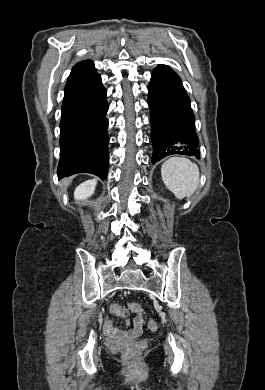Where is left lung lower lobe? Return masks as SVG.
Listing matches in <instances>:
<instances>
[{"mask_svg": "<svg viewBox=\"0 0 265 390\" xmlns=\"http://www.w3.org/2000/svg\"><path fill=\"white\" fill-rule=\"evenodd\" d=\"M148 91L152 163L174 154L199 159L195 118L180 77L167 65L160 64L152 72Z\"/></svg>", "mask_w": 265, "mask_h": 390, "instance_id": "left-lung-lower-lobe-1", "label": "left lung lower lobe"}]
</instances>
